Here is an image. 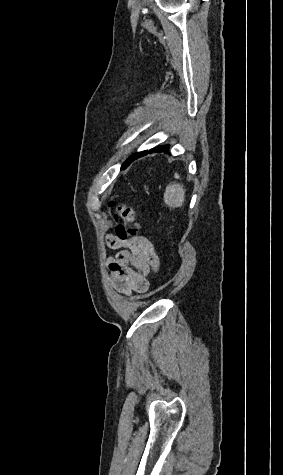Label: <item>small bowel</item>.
<instances>
[{"mask_svg":"<svg viewBox=\"0 0 283 475\" xmlns=\"http://www.w3.org/2000/svg\"><path fill=\"white\" fill-rule=\"evenodd\" d=\"M103 235L110 237L112 230L105 228ZM103 244L105 248H123L106 260L113 287L125 296L145 294L149 289V278L160 268V258L153 243L139 236L125 244L122 239H105Z\"/></svg>","mask_w":283,"mask_h":475,"instance_id":"c3829d8e","label":"small bowel"}]
</instances>
